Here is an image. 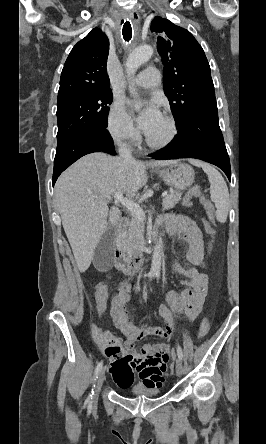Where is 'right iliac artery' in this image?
Returning a JSON list of instances; mask_svg holds the SVG:
<instances>
[{"label":"right iliac artery","instance_id":"82829eb1","mask_svg":"<svg viewBox=\"0 0 266 444\" xmlns=\"http://www.w3.org/2000/svg\"><path fill=\"white\" fill-rule=\"evenodd\" d=\"M153 277H154V274H151V273H150V274H149V278H150V280H151ZM102 367H103V361L99 362L98 365H97V367H96V369H95V380H96V378H97L99 372L101 371ZM93 394H94V391H93V389H92V391L90 392L89 396H88L87 399H86V403H88L89 405H90L91 402H92Z\"/></svg>","mask_w":266,"mask_h":444}]
</instances>
